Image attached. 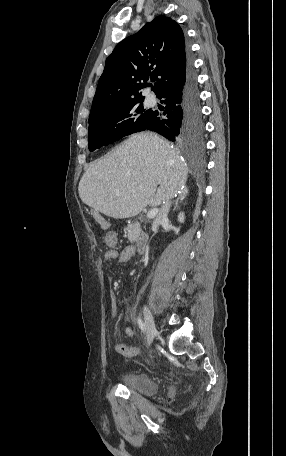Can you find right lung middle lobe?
Here are the masks:
<instances>
[{"mask_svg": "<svg viewBox=\"0 0 286 456\" xmlns=\"http://www.w3.org/2000/svg\"><path fill=\"white\" fill-rule=\"evenodd\" d=\"M154 111L143 107L142 101L110 108L93 120L89 121V150L111 144L124 136L147 129ZM187 133H196L193 137L182 139L198 140L201 134V124H192L186 127Z\"/></svg>", "mask_w": 286, "mask_h": 456, "instance_id": "obj_1", "label": "right lung middle lobe"}]
</instances>
